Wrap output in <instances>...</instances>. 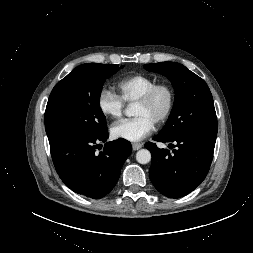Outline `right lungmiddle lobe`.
<instances>
[{"label": "right lung middle lobe", "instance_id": "1", "mask_svg": "<svg viewBox=\"0 0 253 253\" xmlns=\"http://www.w3.org/2000/svg\"><path fill=\"white\" fill-rule=\"evenodd\" d=\"M123 67L82 64L55 85L45 111L49 143L67 137L95 135L107 128L99 105L102 86Z\"/></svg>", "mask_w": 253, "mask_h": 253}]
</instances>
